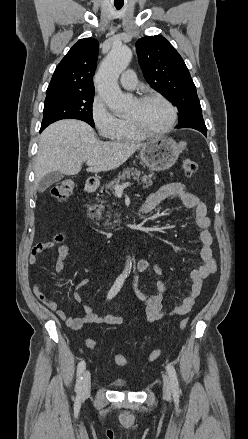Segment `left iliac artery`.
Segmentation results:
<instances>
[{
	"instance_id": "left-iliac-artery-1",
	"label": "left iliac artery",
	"mask_w": 248,
	"mask_h": 439,
	"mask_svg": "<svg viewBox=\"0 0 248 439\" xmlns=\"http://www.w3.org/2000/svg\"><path fill=\"white\" fill-rule=\"evenodd\" d=\"M167 372H168V375L170 378L173 394H174V396H178L179 395V384H178V379H177V373H176V370L172 364L167 365Z\"/></svg>"
}]
</instances>
